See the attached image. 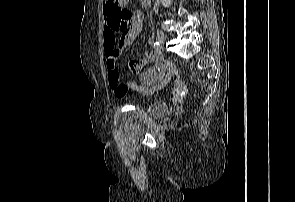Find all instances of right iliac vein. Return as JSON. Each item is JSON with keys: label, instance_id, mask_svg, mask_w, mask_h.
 <instances>
[{"label": "right iliac vein", "instance_id": "63e3f726", "mask_svg": "<svg viewBox=\"0 0 295 202\" xmlns=\"http://www.w3.org/2000/svg\"><path fill=\"white\" fill-rule=\"evenodd\" d=\"M157 38L160 43H165L167 40V35L163 31L157 30Z\"/></svg>", "mask_w": 295, "mask_h": 202}]
</instances>
